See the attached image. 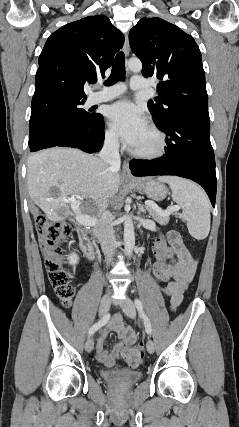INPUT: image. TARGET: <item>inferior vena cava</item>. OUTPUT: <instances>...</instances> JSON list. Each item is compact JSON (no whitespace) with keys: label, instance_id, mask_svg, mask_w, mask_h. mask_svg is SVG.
<instances>
[{"label":"inferior vena cava","instance_id":"inferior-vena-cava-1","mask_svg":"<svg viewBox=\"0 0 239 427\" xmlns=\"http://www.w3.org/2000/svg\"><path fill=\"white\" fill-rule=\"evenodd\" d=\"M99 157L104 163L111 166L112 169L119 170L121 161L119 155V141L116 135L106 137ZM95 233L101 243V248L108 264L112 261L114 250L117 247L114 230L111 225V214L108 211L103 212L100 222L95 229Z\"/></svg>","mask_w":239,"mask_h":427}]
</instances>
